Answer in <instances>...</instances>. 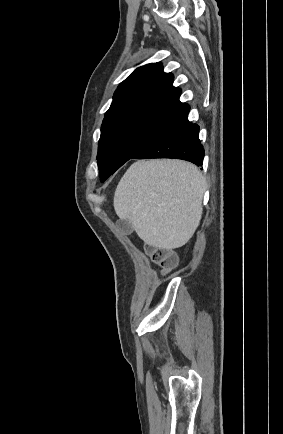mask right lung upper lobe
I'll use <instances>...</instances> for the list:
<instances>
[{
    "instance_id": "right-lung-upper-lobe-1",
    "label": "right lung upper lobe",
    "mask_w": 283,
    "mask_h": 434,
    "mask_svg": "<svg viewBox=\"0 0 283 434\" xmlns=\"http://www.w3.org/2000/svg\"><path fill=\"white\" fill-rule=\"evenodd\" d=\"M174 76L165 73L161 63L137 68L114 93L103 120L148 114L176 121L189 113L188 104L179 101L181 90L173 86Z\"/></svg>"
}]
</instances>
